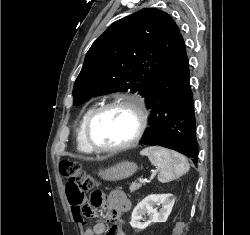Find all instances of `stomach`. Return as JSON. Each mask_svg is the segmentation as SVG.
<instances>
[{
    "instance_id": "stomach-1",
    "label": "stomach",
    "mask_w": 250,
    "mask_h": 235,
    "mask_svg": "<svg viewBox=\"0 0 250 235\" xmlns=\"http://www.w3.org/2000/svg\"><path fill=\"white\" fill-rule=\"evenodd\" d=\"M138 169L134 162L123 161L99 173L103 180L119 181L132 176Z\"/></svg>"
}]
</instances>
